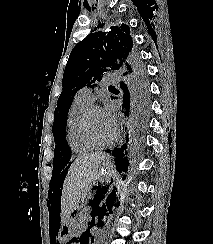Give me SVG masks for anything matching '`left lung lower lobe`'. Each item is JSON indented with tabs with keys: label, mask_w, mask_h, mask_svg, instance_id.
<instances>
[{
	"label": "left lung lower lobe",
	"mask_w": 213,
	"mask_h": 244,
	"mask_svg": "<svg viewBox=\"0 0 213 244\" xmlns=\"http://www.w3.org/2000/svg\"><path fill=\"white\" fill-rule=\"evenodd\" d=\"M126 108V116H130V128H129V140L127 135V142L130 143V146L134 149H140L143 146V139L145 132L147 130V124L149 119V112L145 110L144 108H137L128 106L125 104ZM126 129V128H125ZM127 145L124 144L121 149H115L112 151V155L115 157L116 166L119 172L125 171L128 166V159L126 157L127 151H126ZM107 152H111L110 150H107ZM125 178V176H124ZM103 198V197H102ZM96 199L94 198V201ZM91 203V206L95 208L94 210L99 211L98 204L100 203V199L98 201ZM98 207V209H97Z\"/></svg>",
	"instance_id": "obj_1"
}]
</instances>
